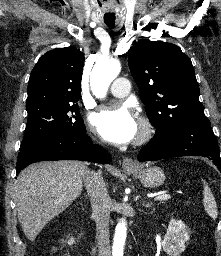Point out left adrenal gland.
Here are the masks:
<instances>
[{"instance_id":"obj_1","label":"left adrenal gland","mask_w":221,"mask_h":256,"mask_svg":"<svg viewBox=\"0 0 221 256\" xmlns=\"http://www.w3.org/2000/svg\"><path fill=\"white\" fill-rule=\"evenodd\" d=\"M144 207L149 208L152 206V203L143 204Z\"/></svg>"}]
</instances>
